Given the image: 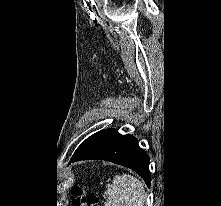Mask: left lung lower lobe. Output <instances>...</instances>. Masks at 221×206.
<instances>
[{"label": "left lung lower lobe", "instance_id": "left-lung-lower-lobe-1", "mask_svg": "<svg viewBox=\"0 0 221 206\" xmlns=\"http://www.w3.org/2000/svg\"><path fill=\"white\" fill-rule=\"evenodd\" d=\"M100 159L135 170L151 184L149 157L138 145L135 137L121 135L115 129L104 130L86 148L73 155L70 163L79 160Z\"/></svg>", "mask_w": 221, "mask_h": 206}]
</instances>
